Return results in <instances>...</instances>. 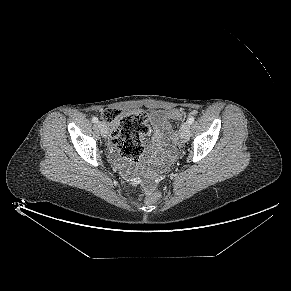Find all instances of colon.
I'll use <instances>...</instances> for the list:
<instances>
[{"instance_id":"colon-1","label":"colon","mask_w":291,"mask_h":291,"mask_svg":"<svg viewBox=\"0 0 291 291\" xmlns=\"http://www.w3.org/2000/svg\"><path fill=\"white\" fill-rule=\"evenodd\" d=\"M170 120H181L185 117L181 109L169 111ZM103 120L108 125L113 144L127 159L138 160L143 153L141 135L149 130L148 116L144 110L119 111L108 109L103 113ZM160 197L155 186L146 190V200L156 202Z\"/></svg>"}]
</instances>
